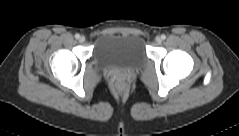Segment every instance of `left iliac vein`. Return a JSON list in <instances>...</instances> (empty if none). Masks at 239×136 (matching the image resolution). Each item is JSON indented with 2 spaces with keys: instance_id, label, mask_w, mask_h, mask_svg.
Wrapping results in <instances>:
<instances>
[{
  "instance_id": "obj_1",
  "label": "left iliac vein",
  "mask_w": 239,
  "mask_h": 136,
  "mask_svg": "<svg viewBox=\"0 0 239 136\" xmlns=\"http://www.w3.org/2000/svg\"><path fill=\"white\" fill-rule=\"evenodd\" d=\"M155 42H156L157 44H161L162 38H161L160 36H157V37L155 38Z\"/></svg>"
}]
</instances>
